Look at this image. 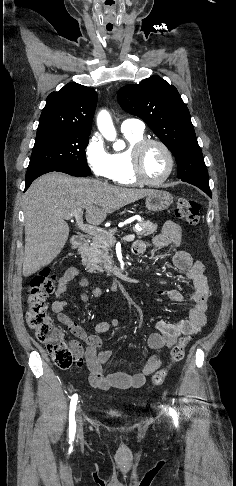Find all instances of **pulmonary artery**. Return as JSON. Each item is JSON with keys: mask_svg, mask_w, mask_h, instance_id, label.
<instances>
[{"mask_svg": "<svg viewBox=\"0 0 236 486\" xmlns=\"http://www.w3.org/2000/svg\"><path fill=\"white\" fill-rule=\"evenodd\" d=\"M144 129H145L144 122L137 118H127L121 124L122 131L143 132Z\"/></svg>", "mask_w": 236, "mask_h": 486, "instance_id": "pulmonary-artery-1", "label": "pulmonary artery"}]
</instances>
